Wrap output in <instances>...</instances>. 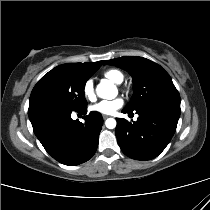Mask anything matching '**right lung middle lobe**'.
Listing matches in <instances>:
<instances>
[{"label":"right lung middle lobe","mask_w":210,"mask_h":210,"mask_svg":"<svg viewBox=\"0 0 210 210\" xmlns=\"http://www.w3.org/2000/svg\"><path fill=\"white\" fill-rule=\"evenodd\" d=\"M99 68L96 66L78 71L57 66L49 71L32 90L28 109L29 118L53 109L81 110L86 108L85 83Z\"/></svg>","instance_id":"1"}]
</instances>
